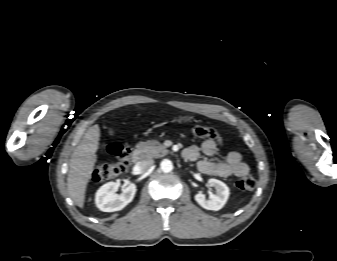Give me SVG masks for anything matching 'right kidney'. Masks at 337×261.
I'll use <instances>...</instances> for the list:
<instances>
[{"label":"right kidney","instance_id":"ca27d5eb","mask_svg":"<svg viewBox=\"0 0 337 261\" xmlns=\"http://www.w3.org/2000/svg\"><path fill=\"white\" fill-rule=\"evenodd\" d=\"M118 185L115 182H108L101 186L95 195V204L103 212H114L122 210L134 198L136 185L130 184L120 195L116 194Z\"/></svg>","mask_w":337,"mask_h":261}]
</instances>
